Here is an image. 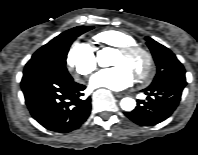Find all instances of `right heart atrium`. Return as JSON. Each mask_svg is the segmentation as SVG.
<instances>
[{"mask_svg": "<svg viewBox=\"0 0 198 155\" xmlns=\"http://www.w3.org/2000/svg\"><path fill=\"white\" fill-rule=\"evenodd\" d=\"M67 65L76 75H90L97 66L93 47L83 41L74 43L67 53Z\"/></svg>", "mask_w": 198, "mask_h": 155, "instance_id": "right-heart-atrium-1", "label": "right heart atrium"}]
</instances>
